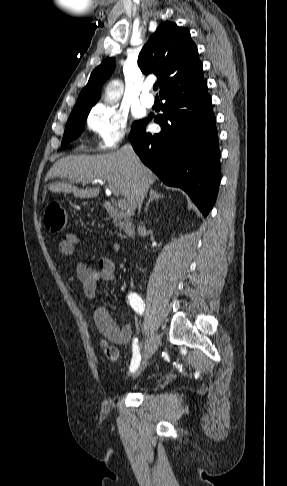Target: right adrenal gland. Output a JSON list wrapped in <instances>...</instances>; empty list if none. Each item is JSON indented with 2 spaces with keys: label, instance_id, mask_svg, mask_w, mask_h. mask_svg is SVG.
Returning a JSON list of instances; mask_svg holds the SVG:
<instances>
[{
  "label": "right adrenal gland",
  "instance_id": "2a0ac1e0",
  "mask_svg": "<svg viewBox=\"0 0 287 486\" xmlns=\"http://www.w3.org/2000/svg\"><path fill=\"white\" fill-rule=\"evenodd\" d=\"M160 198H164V195L161 194V193H158L155 189H152L150 191V198L147 201L146 206H145V212H147L150 202H152L153 200H158Z\"/></svg>",
  "mask_w": 287,
  "mask_h": 486
}]
</instances>
